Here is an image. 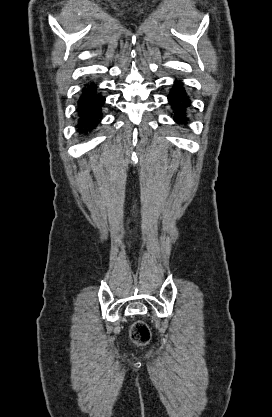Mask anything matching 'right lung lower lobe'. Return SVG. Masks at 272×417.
<instances>
[{"instance_id": "obj_1", "label": "right lung lower lobe", "mask_w": 272, "mask_h": 417, "mask_svg": "<svg viewBox=\"0 0 272 417\" xmlns=\"http://www.w3.org/2000/svg\"><path fill=\"white\" fill-rule=\"evenodd\" d=\"M104 101L105 98L97 92L94 84L83 89L78 102L79 132L87 133L98 125L102 118L101 107Z\"/></svg>"}]
</instances>
